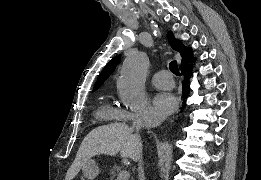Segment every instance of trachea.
<instances>
[{"label": "trachea", "mask_w": 261, "mask_h": 180, "mask_svg": "<svg viewBox=\"0 0 261 180\" xmlns=\"http://www.w3.org/2000/svg\"><path fill=\"white\" fill-rule=\"evenodd\" d=\"M169 69L172 73H174V75L181 77L176 60H173L171 63H169Z\"/></svg>", "instance_id": "1"}]
</instances>
